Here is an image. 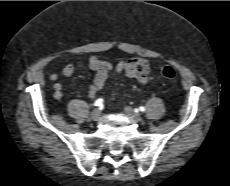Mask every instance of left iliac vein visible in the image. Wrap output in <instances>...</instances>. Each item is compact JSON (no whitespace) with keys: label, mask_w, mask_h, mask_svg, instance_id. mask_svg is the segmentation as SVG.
I'll return each mask as SVG.
<instances>
[{"label":"left iliac vein","mask_w":230,"mask_h":186,"mask_svg":"<svg viewBox=\"0 0 230 186\" xmlns=\"http://www.w3.org/2000/svg\"><path fill=\"white\" fill-rule=\"evenodd\" d=\"M124 111L125 113L130 117L132 118L133 120L137 121V122H140L142 120V117L139 113L135 112L133 110V108H131L130 106H126L124 108Z\"/></svg>","instance_id":"1"}]
</instances>
